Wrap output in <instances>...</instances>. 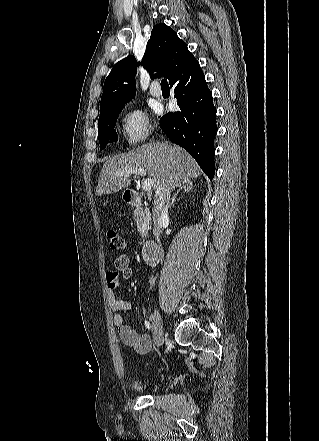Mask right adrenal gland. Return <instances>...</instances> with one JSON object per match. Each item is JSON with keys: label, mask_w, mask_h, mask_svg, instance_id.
<instances>
[{"label": "right adrenal gland", "mask_w": 319, "mask_h": 441, "mask_svg": "<svg viewBox=\"0 0 319 441\" xmlns=\"http://www.w3.org/2000/svg\"><path fill=\"white\" fill-rule=\"evenodd\" d=\"M192 190H193V183H192V181H188V182L184 183V184L179 188V190H177V192L173 195V198L171 199V202H170V204H169V208L171 209V207L174 205V202H175V200H176V197L178 196V194H179L180 191H183V192L189 193V192H191Z\"/></svg>", "instance_id": "2a0ac1e0"}]
</instances>
